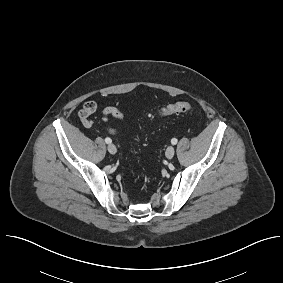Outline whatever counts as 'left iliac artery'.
<instances>
[{"label": "left iliac artery", "instance_id": "1", "mask_svg": "<svg viewBox=\"0 0 283 283\" xmlns=\"http://www.w3.org/2000/svg\"><path fill=\"white\" fill-rule=\"evenodd\" d=\"M171 143H172L173 145L177 144V139H176V138H173V139L171 140Z\"/></svg>", "mask_w": 283, "mask_h": 283}]
</instances>
